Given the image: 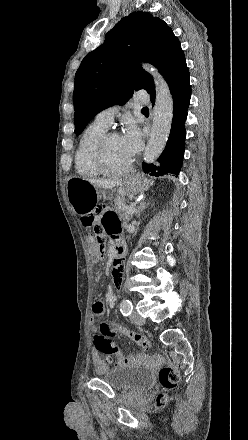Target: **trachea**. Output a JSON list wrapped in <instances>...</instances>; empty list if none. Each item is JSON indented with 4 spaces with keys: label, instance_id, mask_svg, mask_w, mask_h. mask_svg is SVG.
<instances>
[{
    "label": "trachea",
    "instance_id": "trachea-1",
    "mask_svg": "<svg viewBox=\"0 0 248 440\" xmlns=\"http://www.w3.org/2000/svg\"><path fill=\"white\" fill-rule=\"evenodd\" d=\"M142 110H148V108H147V107H144V108H142Z\"/></svg>",
    "mask_w": 248,
    "mask_h": 440
}]
</instances>
